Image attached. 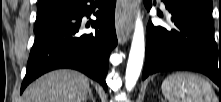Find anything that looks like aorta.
Listing matches in <instances>:
<instances>
[{"label":"aorta","instance_id":"obj_1","mask_svg":"<svg viewBox=\"0 0 221 102\" xmlns=\"http://www.w3.org/2000/svg\"><path fill=\"white\" fill-rule=\"evenodd\" d=\"M145 54L144 28L140 16L136 19L133 40L129 53V59L125 74V86L127 91H131L141 73Z\"/></svg>","mask_w":221,"mask_h":102}]
</instances>
